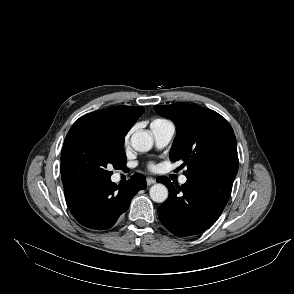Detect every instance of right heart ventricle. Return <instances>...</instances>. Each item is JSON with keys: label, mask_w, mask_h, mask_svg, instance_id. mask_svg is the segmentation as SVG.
Here are the masks:
<instances>
[{"label": "right heart ventricle", "mask_w": 294, "mask_h": 294, "mask_svg": "<svg viewBox=\"0 0 294 294\" xmlns=\"http://www.w3.org/2000/svg\"><path fill=\"white\" fill-rule=\"evenodd\" d=\"M165 122H168L167 120H164V119H155L152 123H151V126L152 125H156V124H162V123H165Z\"/></svg>", "instance_id": "obj_1"}]
</instances>
